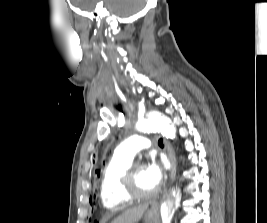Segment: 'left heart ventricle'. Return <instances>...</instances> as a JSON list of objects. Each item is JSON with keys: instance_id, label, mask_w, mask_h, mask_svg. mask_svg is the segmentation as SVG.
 I'll return each mask as SVG.
<instances>
[{"instance_id": "obj_1", "label": "left heart ventricle", "mask_w": 267, "mask_h": 223, "mask_svg": "<svg viewBox=\"0 0 267 223\" xmlns=\"http://www.w3.org/2000/svg\"><path fill=\"white\" fill-rule=\"evenodd\" d=\"M135 186L139 192L149 193L156 190V187L148 180L146 168L142 167L135 174Z\"/></svg>"}]
</instances>
